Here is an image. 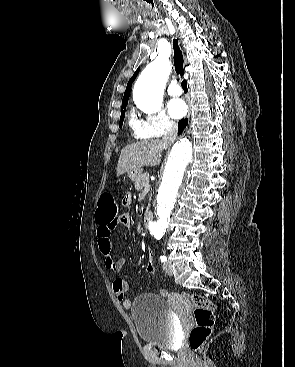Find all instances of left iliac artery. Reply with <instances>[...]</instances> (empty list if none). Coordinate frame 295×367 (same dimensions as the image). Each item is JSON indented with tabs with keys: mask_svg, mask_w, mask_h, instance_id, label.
<instances>
[{
	"mask_svg": "<svg viewBox=\"0 0 295 367\" xmlns=\"http://www.w3.org/2000/svg\"><path fill=\"white\" fill-rule=\"evenodd\" d=\"M160 260H161V262H166L167 261V257L164 256V255H162V256H160Z\"/></svg>",
	"mask_w": 295,
	"mask_h": 367,
	"instance_id": "obj_1",
	"label": "left iliac artery"
}]
</instances>
